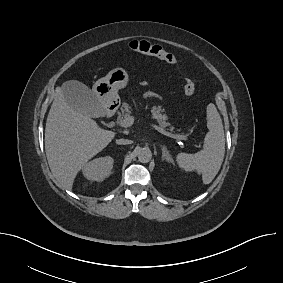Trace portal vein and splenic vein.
Segmentation results:
<instances>
[{
	"instance_id": "portal-vein-and-splenic-vein-1",
	"label": "portal vein and splenic vein",
	"mask_w": 283,
	"mask_h": 283,
	"mask_svg": "<svg viewBox=\"0 0 283 283\" xmlns=\"http://www.w3.org/2000/svg\"><path fill=\"white\" fill-rule=\"evenodd\" d=\"M135 119L133 116H128L124 120H122L119 125L121 127H129L134 123ZM150 126H152L155 130L158 132L162 133L165 136H168L170 138L176 139V140H183V141H188V138L184 135H177V134H172L170 132H167L164 128L157 126L156 124L150 123Z\"/></svg>"
}]
</instances>
